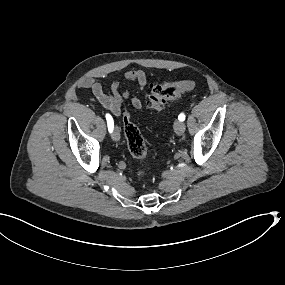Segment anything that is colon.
Returning <instances> with one entry per match:
<instances>
[{"instance_id":"5ec220e1","label":"colon","mask_w":285,"mask_h":285,"mask_svg":"<svg viewBox=\"0 0 285 285\" xmlns=\"http://www.w3.org/2000/svg\"><path fill=\"white\" fill-rule=\"evenodd\" d=\"M196 87V81L183 80L178 82L154 85L149 93L147 106L155 111H162L169 102L178 99L183 93ZM123 106V130L130 154L139 160H144L147 156V146L139 128L132 122L127 110L128 103L124 100ZM145 171H138V176L142 177Z\"/></svg>"}]
</instances>
